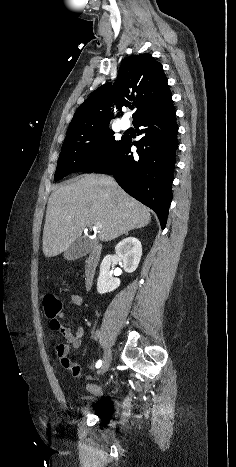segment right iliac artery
<instances>
[{
  "label": "right iliac artery",
  "instance_id": "right-iliac-artery-1",
  "mask_svg": "<svg viewBox=\"0 0 236 467\" xmlns=\"http://www.w3.org/2000/svg\"><path fill=\"white\" fill-rule=\"evenodd\" d=\"M102 365V360H98L96 363V368H100Z\"/></svg>",
  "mask_w": 236,
  "mask_h": 467
}]
</instances>
